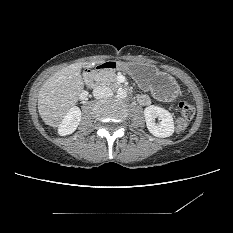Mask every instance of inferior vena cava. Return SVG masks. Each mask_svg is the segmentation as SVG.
<instances>
[{"mask_svg":"<svg viewBox=\"0 0 233 233\" xmlns=\"http://www.w3.org/2000/svg\"><path fill=\"white\" fill-rule=\"evenodd\" d=\"M112 95V90L107 86H97L93 89V96L97 99L109 97Z\"/></svg>","mask_w":233,"mask_h":233,"instance_id":"1","label":"inferior vena cava"}]
</instances>
